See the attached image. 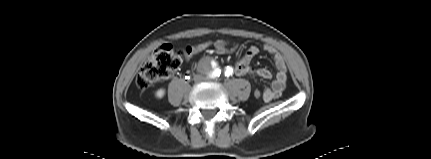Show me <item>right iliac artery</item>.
Masks as SVG:
<instances>
[{
  "label": "right iliac artery",
  "mask_w": 431,
  "mask_h": 159,
  "mask_svg": "<svg viewBox=\"0 0 431 159\" xmlns=\"http://www.w3.org/2000/svg\"><path fill=\"white\" fill-rule=\"evenodd\" d=\"M221 73V70H219V69H217L216 71H215V74H217V75H219Z\"/></svg>",
  "instance_id": "1"
}]
</instances>
